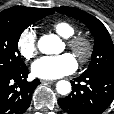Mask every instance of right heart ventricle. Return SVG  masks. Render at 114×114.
<instances>
[{
    "mask_svg": "<svg viewBox=\"0 0 114 114\" xmlns=\"http://www.w3.org/2000/svg\"><path fill=\"white\" fill-rule=\"evenodd\" d=\"M54 31L63 38H69L76 32V27L69 21L58 20L52 24Z\"/></svg>",
    "mask_w": 114,
    "mask_h": 114,
    "instance_id": "1",
    "label": "right heart ventricle"
}]
</instances>
